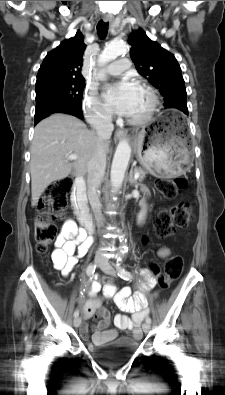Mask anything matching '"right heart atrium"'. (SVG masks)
<instances>
[{"mask_svg":"<svg viewBox=\"0 0 225 395\" xmlns=\"http://www.w3.org/2000/svg\"><path fill=\"white\" fill-rule=\"evenodd\" d=\"M83 109L87 120L94 124H104L111 116L92 89L85 92Z\"/></svg>","mask_w":225,"mask_h":395,"instance_id":"obj_1","label":"right heart atrium"}]
</instances>
